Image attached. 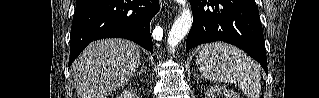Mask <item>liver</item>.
<instances>
[{
	"label": "liver",
	"mask_w": 319,
	"mask_h": 98,
	"mask_svg": "<svg viewBox=\"0 0 319 98\" xmlns=\"http://www.w3.org/2000/svg\"><path fill=\"white\" fill-rule=\"evenodd\" d=\"M139 62V47L128 40L90 44L73 63L78 98H107L134 75Z\"/></svg>",
	"instance_id": "obj_1"
}]
</instances>
